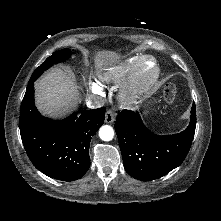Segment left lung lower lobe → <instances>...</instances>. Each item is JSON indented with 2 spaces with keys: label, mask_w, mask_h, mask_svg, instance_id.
I'll use <instances>...</instances> for the list:
<instances>
[{
  "label": "left lung lower lobe",
  "mask_w": 221,
  "mask_h": 221,
  "mask_svg": "<svg viewBox=\"0 0 221 221\" xmlns=\"http://www.w3.org/2000/svg\"><path fill=\"white\" fill-rule=\"evenodd\" d=\"M116 120L126 172L138 180H155L178 167L187 156L195 134L196 106L193 103L189 126L175 135L153 134L138 112L123 110Z\"/></svg>",
  "instance_id": "1"
}]
</instances>
